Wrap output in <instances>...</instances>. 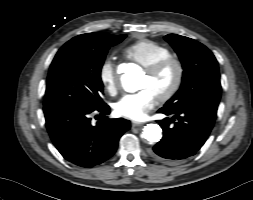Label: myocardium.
Segmentation results:
<instances>
[{
    "label": "myocardium",
    "mask_w": 253,
    "mask_h": 200,
    "mask_svg": "<svg viewBox=\"0 0 253 200\" xmlns=\"http://www.w3.org/2000/svg\"><path fill=\"white\" fill-rule=\"evenodd\" d=\"M170 67L174 69L173 81L168 89L157 96L158 100L162 102L169 100L179 90L184 75L183 64L179 59L170 56L145 67V72L152 77L160 75Z\"/></svg>",
    "instance_id": "obj_1"
}]
</instances>
